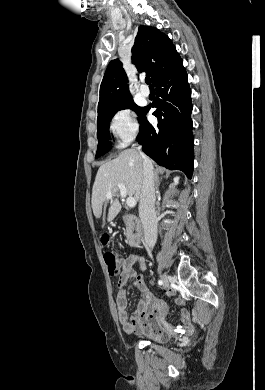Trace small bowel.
I'll use <instances>...</instances> for the list:
<instances>
[{
    "instance_id": "obj_1",
    "label": "small bowel",
    "mask_w": 265,
    "mask_h": 390,
    "mask_svg": "<svg viewBox=\"0 0 265 390\" xmlns=\"http://www.w3.org/2000/svg\"><path fill=\"white\" fill-rule=\"evenodd\" d=\"M138 264L142 271L145 270L143 257L132 254L121 260V274L118 280V293L116 297V309L122 329L127 334L146 333L156 340L164 341L168 338L171 326L167 321L168 310L164 300L149 291L144 283L143 275L138 273L134 265ZM142 293L138 308L132 317H128L127 285L129 282ZM183 330L190 332L193 325L189 313L181 311Z\"/></svg>"
}]
</instances>
